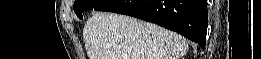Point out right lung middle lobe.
I'll list each match as a JSON object with an SVG mask.
<instances>
[{"label":"right lung middle lobe","instance_id":"dd1d6c3e","mask_svg":"<svg viewBox=\"0 0 261 59\" xmlns=\"http://www.w3.org/2000/svg\"><path fill=\"white\" fill-rule=\"evenodd\" d=\"M106 0H75L74 2V12L76 15L82 19V13L89 9H94L95 7L101 5Z\"/></svg>","mask_w":261,"mask_h":59}]
</instances>
